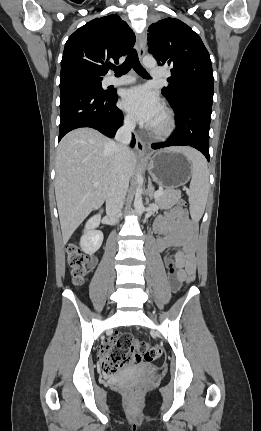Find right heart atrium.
<instances>
[{
	"mask_svg": "<svg viewBox=\"0 0 261 431\" xmlns=\"http://www.w3.org/2000/svg\"><path fill=\"white\" fill-rule=\"evenodd\" d=\"M124 123H125L126 126H130L131 125V121L127 117L124 119Z\"/></svg>",
	"mask_w": 261,
	"mask_h": 431,
	"instance_id": "d8ad5b80",
	"label": "right heart atrium"
}]
</instances>
